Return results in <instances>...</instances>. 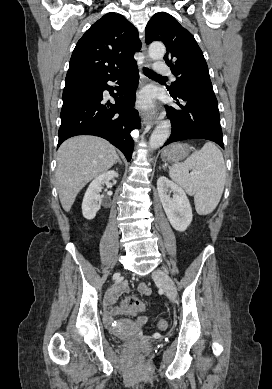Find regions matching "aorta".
Listing matches in <instances>:
<instances>
[{
    "label": "aorta",
    "mask_w": 272,
    "mask_h": 389,
    "mask_svg": "<svg viewBox=\"0 0 272 389\" xmlns=\"http://www.w3.org/2000/svg\"><path fill=\"white\" fill-rule=\"evenodd\" d=\"M165 46L160 42H154L149 46L148 54L153 60L162 59L165 55ZM171 132L170 122L167 120L161 121L149 139V146L151 150L161 147L169 138Z\"/></svg>",
    "instance_id": "1"
}]
</instances>
